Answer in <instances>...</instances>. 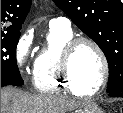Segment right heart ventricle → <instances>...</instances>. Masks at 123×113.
<instances>
[{"label": "right heart ventricle", "mask_w": 123, "mask_h": 113, "mask_svg": "<svg viewBox=\"0 0 123 113\" xmlns=\"http://www.w3.org/2000/svg\"><path fill=\"white\" fill-rule=\"evenodd\" d=\"M73 38L71 29L50 28L45 45L39 51L33 67V86L42 93L72 90L61 73V57L65 44Z\"/></svg>", "instance_id": "obj_1"}]
</instances>
